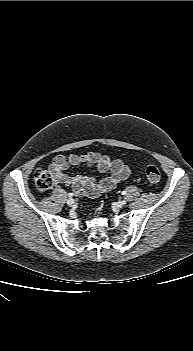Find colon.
<instances>
[{"label": "colon", "mask_w": 193, "mask_h": 351, "mask_svg": "<svg viewBox=\"0 0 193 351\" xmlns=\"http://www.w3.org/2000/svg\"><path fill=\"white\" fill-rule=\"evenodd\" d=\"M146 177H147L148 181H150L152 183H156L161 178L160 170L158 169V167H156L154 165H150L146 169ZM33 180H34V184H35L36 188L40 192L49 191V190L53 189L56 185V182H55L54 178L52 177V175L50 173H48L47 171L41 170V169L35 171V173L33 175Z\"/></svg>", "instance_id": "5ec220e1"}]
</instances>
